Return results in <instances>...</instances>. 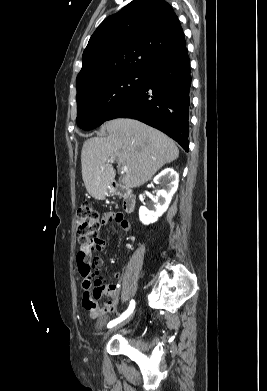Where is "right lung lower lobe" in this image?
<instances>
[{"label":"right lung lower lobe","instance_id":"98d812e1","mask_svg":"<svg viewBox=\"0 0 267 391\" xmlns=\"http://www.w3.org/2000/svg\"><path fill=\"white\" fill-rule=\"evenodd\" d=\"M190 87V60L185 47L150 65L144 72L142 87L107 120L137 119L163 131L188 152Z\"/></svg>","mask_w":267,"mask_h":391}]
</instances>
